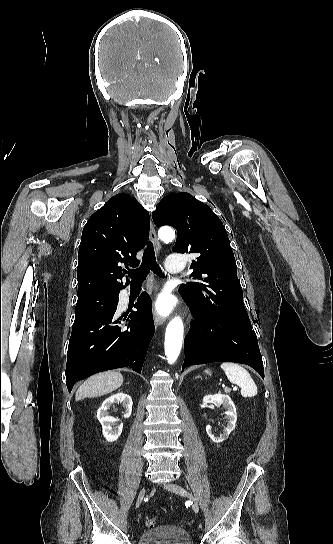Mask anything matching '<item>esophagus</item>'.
<instances>
[{"mask_svg": "<svg viewBox=\"0 0 333 544\" xmlns=\"http://www.w3.org/2000/svg\"><path fill=\"white\" fill-rule=\"evenodd\" d=\"M149 237H150V240L151 242L153 243V247H154V250L157 254H159L160 252V249H161V244L159 242V239L157 237V234H156V230H155V226H154V223L152 221V218H150V232H149ZM154 323H155V326L156 327H159L161 326L163 323H164V319L159 316L157 313H155L154 315Z\"/></svg>", "mask_w": 333, "mask_h": 544, "instance_id": "esophagus-1", "label": "esophagus"}]
</instances>
